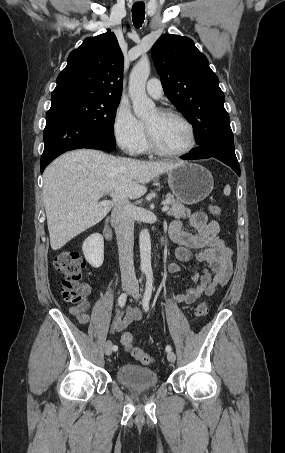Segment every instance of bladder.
<instances>
[{"mask_svg": "<svg viewBox=\"0 0 285 453\" xmlns=\"http://www.w3.org/2000/svg\"><path fill=\"white\" fill-rule=\"evenodd\" d=\"M115 377L119 383L136 389L152 388L159 382V377L153 369L134 364L120 365Z\"/></svg>", "mask_w": 285, "mask_h": 453, "instance_id": "1", "label": "bladder"}]
</instances>
